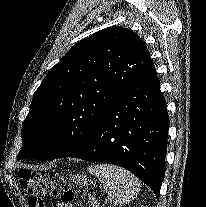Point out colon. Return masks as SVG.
Wrapping results in <instances>:
<instances>
[{"instance_id": "obj_1", "label": "colon", "mask_w": 206, "mask_h": 207, "mask_svg": "<svg viewBox=\"0 0 206 207\" xmlns=\"http://www.w3.org/2000/svg\"><path fill=\"white\" fill-rule=\"evenodd\" d=\"M18 175L22 188L29 194L30 207H45V197H58L66 204H70L75 200V192L54 171L32 172L22 169Z\"/></svg>"}]
</instances>
